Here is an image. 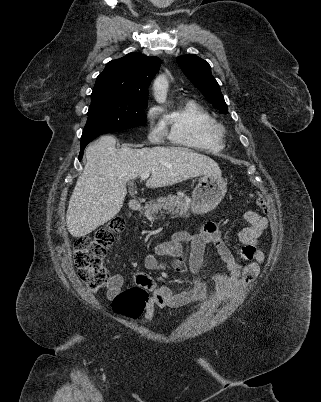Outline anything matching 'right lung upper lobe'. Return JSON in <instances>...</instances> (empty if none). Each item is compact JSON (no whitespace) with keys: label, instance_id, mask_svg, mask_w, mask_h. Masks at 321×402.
<instances>
[{"label":"right lung upper lobe","instance_id":"1","mask_svg":"<svg viewBox=\"0 0 321 402\" xmlns=\"http://www.w3.org/2000/svg\"><path fill=\"white\" fill-rule=\"evenodd\" d=\"M160 68V59L132 52L107 63L92 93H106L134 101L148 100V87Z\"/></svg>","mask_w":321,"mask_h":402}]
</instances>
